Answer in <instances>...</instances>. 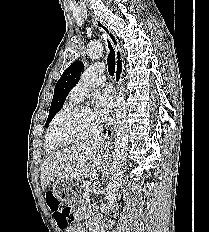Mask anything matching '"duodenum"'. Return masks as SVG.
Masks as SVG:
<instances>
[{
	"label": "duodenum",
	"mask_w": 209,
	"mask_h": 232,
	"mask_svg": "<svg viewBox=\"0 0 209 232\" xmlns=\"http://www.w3.org/2000/svg\"><path fill=\"white\" fill-rule=\"evenodd\" d=\"M92 232H103L98 223L94 222L92 225Z\"/></svg>",
	"instance_id": "duodenum-1"
}]
</instances>
